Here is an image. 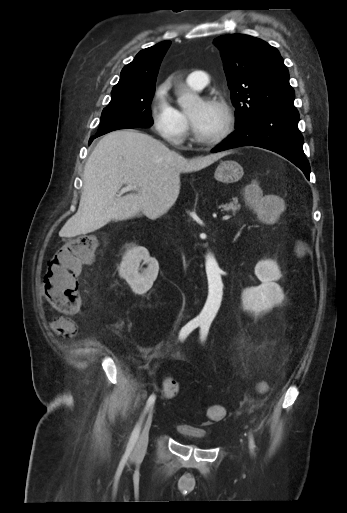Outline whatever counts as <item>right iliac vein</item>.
I'll return each mask as SVG.
<instances>
[{
  "label": "right iliac vein",
  "mask_w": 347,
  "mask_h": 513,
  "mask_svg": "<svg viewBox=\"0 0 347 513\" xmlns=\"http://www.w3.org/2000/svg\"><path fill=\"white\" fill-rule=\"evenodd\" d=\"M152 409H153V407H151V409L146 417L142 432L137 440L136 447L134 450V455L136 457L143 455L147 449L148 439H149V430H150V427L152 424Z\"/></svg>",
  "instance_id": "right-iliac-vein-1"
}]
</instances>
